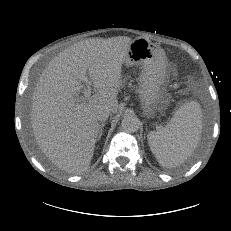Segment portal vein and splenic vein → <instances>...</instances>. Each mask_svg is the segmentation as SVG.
Returning <instances> with one entry per match:
<instances>
[{"label":"portal vein and splenic vein","mask_w":231,"mask_h":231,"mask_svg":"<svg viewBox=\"0 0 231 231\" xmlns=\"http://www.w3.org/2000/svg\"><path fill=\"white\" fill-rule=\"evenodd\" d=\"M79 79H80L81 81H83V82L86 84V86H87V88H86L85 91H84V97L78 98V107H81V105L83 104V102H84L85 100H87V99L90 98L91 93H92V90H91V87H90L91 82H90L89 78L86 76L85 73H81V74L79 75Z\"/></svg>","instance_id":"1"}]
</instances>
